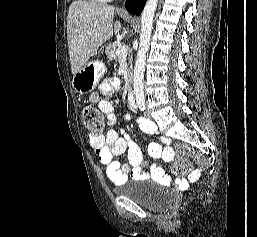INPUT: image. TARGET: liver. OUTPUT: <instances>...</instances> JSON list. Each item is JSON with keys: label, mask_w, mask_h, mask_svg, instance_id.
<instances>
[{"label": "liver", "mask_w": 257, "mask_h": 237, "mask_svg": "<svg viewBox=\"0 0 257 237\" xmlns=\"http://www.w3.org/2000/svg\"><path fill=\"white\" fill-rule=\"evenodd\" d=\"M114 7L74 1L67 16V39L71 71L75 75L98 48L121 31L120 21L113 24Z\"/></svg>", "instance_id": "obj_1"}]
</instances>
